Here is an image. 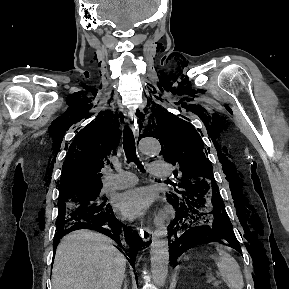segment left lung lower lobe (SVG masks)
<instances>
[{"label":"left lung lower lobe","instance_id":"left-lung-lower-lobe-1","mask_svg":"<svg viewBox=\"0 0 289 289\" xmlns=\"http://www.w3.org/2000/svg\"><path fill=\"white\" fill-rule=\"evenodd\" d=\"M168 201L176 209V217L168 231L172 262L192 247V240L206 236L223 238L240 252L232 224L217 193L206 196L193 192L179 198L168 197Z\"/></svg>","mask_w":289,"mask_h":289}]
</instances>
